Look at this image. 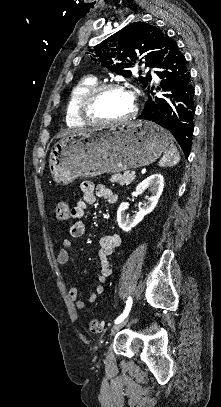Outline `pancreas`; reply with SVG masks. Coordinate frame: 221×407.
Instances as JSON below:
<instances>
[{
    "mask_svg": "<svg viewBox=\"0 0 221 407\" xmlns=\"http://www.w3.org/2000/svg\"><path fill=\"white\" fill-rule=\"evenodd\" d=\"M135 180V176H133L129 171H125L123 174L117 173L113 174L110 178L112 183H117L120 186L129 185Z\"/></svg>",
    "mask_w": 221,
    "mask_h": 407,
    "instance_id": "cf45deb5",
    "label": "pancreas"
}]
</instances>
